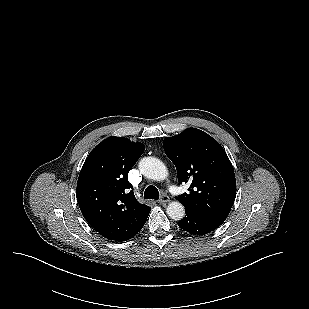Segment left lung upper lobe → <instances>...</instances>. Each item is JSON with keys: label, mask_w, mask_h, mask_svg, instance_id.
Returning <instances> with one entry per match:
<instances>
[{"label": "left lung upper lobe", "mask_w": 309, "mask_h": 309, "mask_svg": "<svg viewBox=\"0 0 309 309\" xmlns=\"http://www.w3.org/2000/svg\"><path fill=\"white\" fill-rule=\"evenodd\" d=\"M177 169L178 181L190 182L189 192L175 197L187 211L223 223L236 196L232 164L222 146L205 132L188 128L163 141Z\"/></svg>", "instance_id": "5c2ea615"}]
</instances>
